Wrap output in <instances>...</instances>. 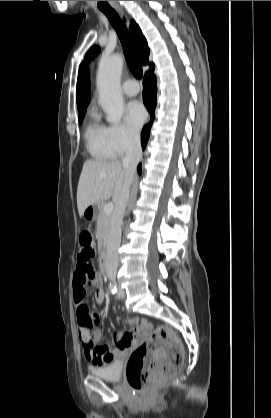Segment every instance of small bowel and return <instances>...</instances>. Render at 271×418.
Here are the masks:
<instances>
[{"label": "small bowel", "instance_id": "c3829d8e", "mask_svg": "<svg viewBox=\"0 0 271 418\" xmlns=\"http://www.w3.org/2000/svg\"><path fill=\"white\" fill-rule=\"evenodd\" d=\"M94 284L97 287L95 302L102 305L105 299L104 291L101 288V278L91 262H77L76 272L73 277V313L78 315L79 337L84 349L86 358L94 366H104L112 360L125 355L128 350L137 343L136 336L142 333L145 323L137 318H128L127 323L134 326L133 332H115L112 336L117 344L98 346L101 339V332L98 328L99 321L92 315L93 307L88 299H85L87 284Z\"/></svg>", "mask_w": 271, "mask_h": 418}]
</instances>
